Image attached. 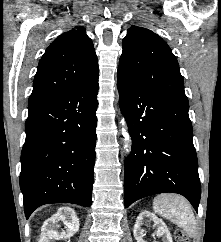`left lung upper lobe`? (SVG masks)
<instances>
[{
  "label": "left lung upper lobe",
  "instance_id": "left-lung-upper-lobe-1",
  "mask_svg": "<svg viewBox=\"0 0 221 242\" xmlns=\"http://www.w3.org/2000/svg\"><path fill=\"white\" fill-rule=\"evenodd\" d=\"M122 48L119 70L148 91L189 106L177 59L161 37L132 26Z\"/></svg>",
  "mask_w": 221,
  "mask_h": 242
}]
</instances>
